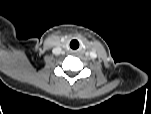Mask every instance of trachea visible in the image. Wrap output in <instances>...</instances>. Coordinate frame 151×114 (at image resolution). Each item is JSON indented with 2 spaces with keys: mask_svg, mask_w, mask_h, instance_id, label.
I'll return each mask as SVG.
<instances>
[{
  "mask_svg": "<svg viewBox=\"0 0 151 114\" xmlns=\"http://www.w3.org/2000/svg\"><path fill=\"white\" fill-rule=\"evenodd\" d=\"M70 47H71L72 49H77V48L79 47V42H78L77 40H72V41L70 42Z\"/></svg>",
  "mask_w": 151,
  "mask_h": 114,
  "instance_id": "obj_1",
  "label": "trachea"
}]
</instances>
